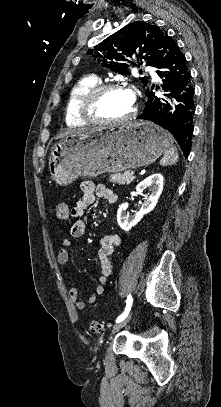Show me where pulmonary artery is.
Returning a JSON list of instances; mask_svg holds the SVG:
<instances>
[{"mask_svg": "<svg viewBox=\"0 0 221 407\" xmlns=\"http://www.w3.org/2000/svg\"><path fill=\"white\" fill-rule=\"evenodd\" d=\"M151 73H152L153 76H156V75H155V72H154L153 70H151Z\"/></svg>", "mask_w": 221, "mask_h": 407, "instance_id": "obj_1", "label": "pulmonary artery"}]
</instances>
